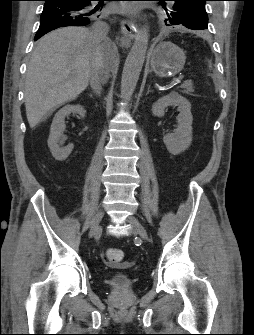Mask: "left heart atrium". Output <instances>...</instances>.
<instances>
[{
    "mask_svg": "<svg viewBox=\"0 0 254 335\" xmlns=\"http://www.w3.org/2000/svg\"><path fill=\"white\" fill-rule=\"evenodd\" d=\"M138 10L139 8L136 4H128V3L123 4L122 7L120 8V11L127 15L136 14Z\"/></svg>",
    "mask_w": 254,
    "mask_h": 335,
    "instance_id": "1",
    "label": "left heart atrium"
}]
</instances>
